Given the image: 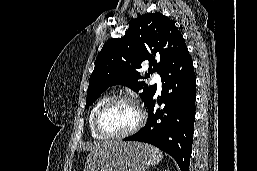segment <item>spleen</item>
I'll return each instance as SVG.
<instances>
[{"mask_svg":"<svg viewBox=\"0 0 257 171\" xmlns=\"http://www.w3.org/2000/svg\"><path fill=\"white\" fill-rule=\"evenodd\" d=\"M144 146L146 147V149L149 152L150 164L152 166H155L157 163H159L162 160V158H163L162 152L160 150H158L157 148L152 147L150 145L145 144Z\"/></svg>","mask_w":257,"mask_h":171,"instance_id":"3e777b00","label":"spleen"}]
</instances>
